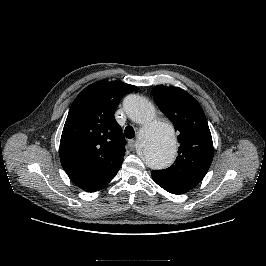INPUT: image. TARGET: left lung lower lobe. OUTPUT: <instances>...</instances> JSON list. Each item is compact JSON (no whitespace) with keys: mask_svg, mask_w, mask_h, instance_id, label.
Listing matches in <instances>:
<instances>
[{"mask_svg":"<svg viewBox=\"0 0 266 266\" xmlns=\"http://www.w3.org/2000/svg\"><path fill=\"white\" fill-rule=\"evenodd\" d=\"M153 180L163 189H165L166 191L173 193V194H183L188 192L187 189L178 187L160 177H158L157 175L151 173Z\"/></svg>","mask_w":266,"mask_h":266,"instance_id":"left-lung-lower-lobe-1","label":"left lung lower lobe"}]
</instances>
